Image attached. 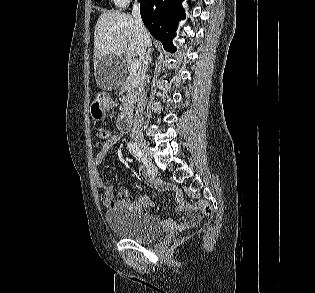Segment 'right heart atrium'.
<instances>
[{
  "label": "right heart atrium",
  "mask_w": 315,
  "mask_h": 293,
  "mask_svg": "<svg viewBox=\"0 0 315 293\" xmlns=\"http://www.w3.org/2000/svg\"><path fill=\"white\" fill-rule=\"evenodd\" d=\"M113 1L118 7L124 8L130 3L131 0H113Z\"/></svg>",
  "instance_id": "d8ad5b80"
}]
</instances>
